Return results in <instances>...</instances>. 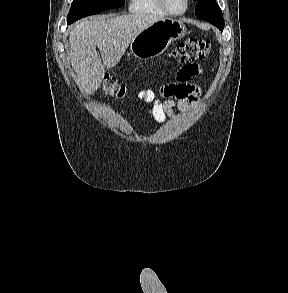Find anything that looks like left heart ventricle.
Wrapping results in <instances>:
<instances>
[{
	"instance_id": "1",
	"label": "left heart ventricle",
	"mask_w": 288,
	"mask_h": 293,
	"mask_svg": "<svg viewBox=\"0 0 288 293\" xmlns=\"http://www.w3.org/2000/svg\"><path fill=\"white\" fill-rule=\"evenodd\" d=\"M168 7L175 12H180L185 7V0H165Z\"/></svg>"
}]
</instances>
